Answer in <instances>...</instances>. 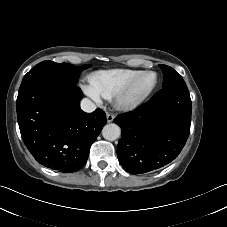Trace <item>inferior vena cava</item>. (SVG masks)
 <instances>
[{"mask_svg": "<svg viewBox=\"0 0 227 227\" xmlns=\"http://www.w3.org/2000/svg\"><path fill=\"white\" fill-rule=\"evenodd\" d=\"M81 109L84 112L90 113L96 109V105L88 98H84L81 101Z\"/></svg>", "mask_w": 227, "mask_h": 227, "instance_id": "602c4592", "label": "inferior vena cava"}]
</instances>
